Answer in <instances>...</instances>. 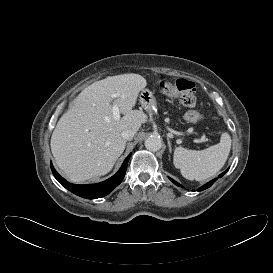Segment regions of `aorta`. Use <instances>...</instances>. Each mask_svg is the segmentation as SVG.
<instances>
[{"mask_svg": "<svg viewBox=\"0 0 273 273\" xmlns=\"http://www.w3.org/2000/svg\"><path fill=\"white\" fill-rule=\"evenodd\" d=\"M145 147L149 151L156 152L161 149L162 141L158 136H150L145 140Z\"/></svg>", "mask_w": 273, "mask_h": 273, "instance_id": "aorta-1", "label": "aorta"}]
</instances>
